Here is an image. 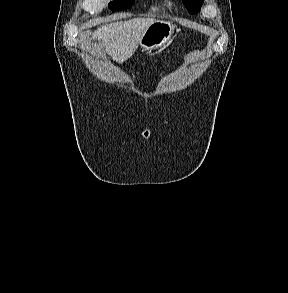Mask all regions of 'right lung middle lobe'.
Wrapping results in <instances>:
<instances>
[{
    "instance_id": "right-lung-middle-lobe-1",
    "label": "right lung middle lobe",
    "mask_w": 288,
    "mask_h": 293,
    "mask_svg": "<svg viewBox=\"0 0 288 293\" xmlns=\"http://www.w3.org/2000/svg\"><path fill=\"white\" fill-rule=\"evenodd\" d=\"M134 3V0H120V1H113L109 3V8L113 11H119L128 9L132 6Z\"/></svg>"
}]
</instances>
